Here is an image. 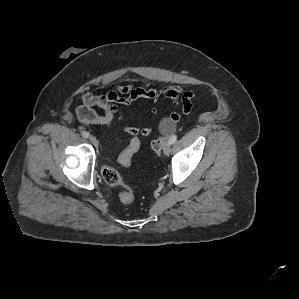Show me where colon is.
I'll list each match as a JSON object with an SVG mask.
<instances>
[{
    "label": "colon",
    "mask_w": 299,
    "mask_h": 299,
    "mask_svg": "<svg viewBox=\"0 0 299 299\" xmlns=\"http://www.w3.org/2000/svg\"><path fill=\"white\" fill-rule=\"evenodd\" d=\"M172 128L173 125L169 120L165 121L164 124H162V129L164 131L170 132ZM165 140L166 137H160L152 141L151 148L154 153H156L157 155L161 153ZM140 147V138L132 137L127 147L119 155V163L124 167H129L132 163L133 157L139 151ZM102 178L110 186H120L123 188L119 195L121 202L128 204L133 201L134 194L132 189L124 183L121 175L114 168L104 167L102 169Z\"/></svg>",
    "instance_id": "colon-1"
}]
</instances>
